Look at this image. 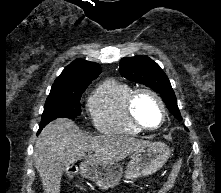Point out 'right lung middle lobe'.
Here are the masks:
<instances>
[{
	"instance_id": "obj_1",
	"label": "right lung middle lobe",
	"mask_w": 221,
	"mask_h": 193,
	"mask_svg": "<svg viewBox=\"0 0 221 193\" xmlns=\"http://www.w3.org/2000/svg\"><path fill=\"white\" fill-rule=\"evenodd\" d=\"M88 85L51 90L44 106L39 129L61 117H76L81 114L80 98Z\"/></svg>"
}]
</instances>
